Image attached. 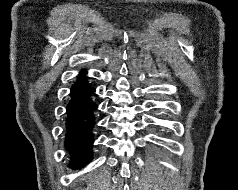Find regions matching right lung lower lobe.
Segmentation results:
<instances>
[{"label": "right lung lower lobe", "mask_w": 238, "mask_h": 190, "mask_svg": "<svg viewBox=\"0 0 238 190\" xmlns=\"http://www.w3.org/2000/svg\"><path fill=\"white\" fill-rule=\"evenodd\" d=\"M86 72L79 73L70 90L65 120V148L70 152L69 167L81 168L92 159L91 147L94 142L95 111L97 104L93 101L95 89L88 83Z\"/></svg>", "instance_id": "obj_1"}]
</instances>
